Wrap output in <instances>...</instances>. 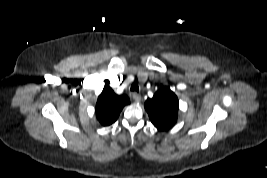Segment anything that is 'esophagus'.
<instances>
[{
  "label": "esophagus",
  "mask_w": 267,
  "mask_h": 178,
  "mask_svg": "<svg viewBox=\"0 0 267 178\" xmlns=\"http://www.w3.org/2000/svg\"><path fill=\"white\" fill-rule=\"evenodd\" d=\"M132 97L136 102H139L141 100V95L139 93H132Z\"/></svg>",
  "instance_id": "esophagus-1"
}]
</instances>
